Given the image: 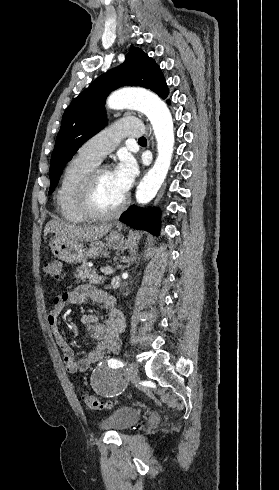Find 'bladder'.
Segmentation results:
<instances>
[{
  "instance_id": "1",
  "label": "bladder",
  "mask_w": 279,
  "mask_h": 490,
  "mask_svg": "<svg viewBox=\"0 0 279 490\" xmlns=\"http://www.w3.org/2000/svg\"><path fill=\"white\" fill-rule=\"evenodd\" d=\"M139 409L131 406H123L113 412L109 417L101 421L102 429H109L112 432L129 430L140 419Z\"/></svg>"
}]
</instances>
